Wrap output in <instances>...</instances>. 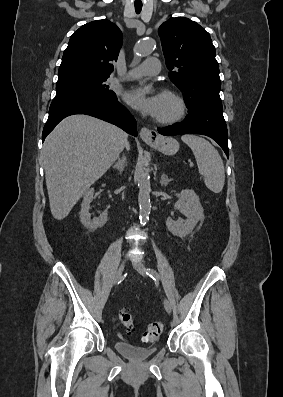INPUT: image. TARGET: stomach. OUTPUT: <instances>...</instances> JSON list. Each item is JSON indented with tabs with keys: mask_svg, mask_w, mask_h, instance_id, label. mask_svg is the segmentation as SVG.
Instances as JSON below:
<instances>
[{
	"mask_svg": "<svg viewBox=\"0 0 283 397\" xmlns=\"http://www.w3.org/2000/svg\"><path fill=\"white\" fill-rule=\"evenodd\" d=\"M151 147L156 148L158 151L165 155H174L179 150V143L172 137H162L154 142H147Z\"/></svg>",
	"mask_w": 283,
	"mask_h": 397,
	"instance_id": "stomach-1",
	"label": "stomach"
}]
</instances>
